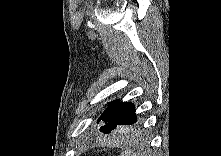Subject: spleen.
<instances>
[{
    "label": "spleen",
    "mask_w": 221,
    "mask_h": 156,
    "mask_svg": "<svg viewBox=\"0 0 221 156\" xmlns=\"http://www.w3.org/2000/svg\"><path fill=\"white\" fill-rule=\"evenodd\" d=\"M129 153L128 152H124L123 153V156H127Z\"/></svg>",
    "instance_id": "1"
}]
</instances>
